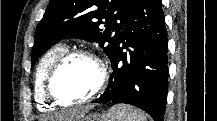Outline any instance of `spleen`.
I'll return each mask as SVG.
<instances>
[{
	"instance_id": "spleen-1",
	"label": "spleen",
	"mask_w": 217,
	"mask_h": 121,
	"mask_svg": "<svg viewBox=\"0 0 217 121\" xmlns=\"http://www.w3.org/2000/svg\"><path fill=\"white\" fill-rule=\"evenodd\" d=\"M103 118L104 121H146V117L139 109L125 104H115Z\"/></svg>"
}]
</instances>
